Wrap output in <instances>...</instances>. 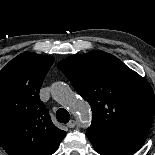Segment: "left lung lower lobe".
Here are the masks:
<instances>
[{"mask_svg":"<svg viewBox=\"0 0 155 155\" xmlns=\"http://www.w3.org/2000/svg\"><path fill=\"white\" fill-rule=\"evenodd\" d=\"M149 130L123 131L109 135L86 133L95 150L101 155H132L144 143Z\"/></svg>","mask_w":155,"mask_h":155,"instance_id":"obj_1","label":"left lung lower lobe"}]
</instances>
